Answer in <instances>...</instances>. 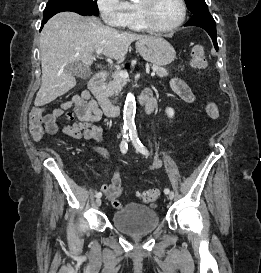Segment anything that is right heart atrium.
Instances as JSON below:
<instances>
[{"label":"right heart atrium","mask_w":261,"mask_h":273,"mask_svg":"<svg viewBox=\"0 0 261 273\" xmlns=\"http://www.w3.org/2000/svg\"><path fill=\"white\" fill-rule=\"evenodd\" d=\"M97 6L106 24L115 27L123 26L126 17L124 0H97Z\"/></svg>","instance_id":"d8ad5b80"}]
</instances>
